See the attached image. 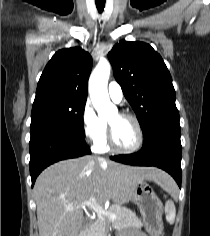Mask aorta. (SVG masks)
Returning a JSON list of instances; mask_svg holds the SVG:
<instances>
[{"label": "aorta", "instance_id": "obj_1", "mask_svg": "<svg viewBox=\"0 0 210 236\" xmlns=\"http://www.w3.org/2000/svg\"><path fill=\"white\" fill-rule=\"evenodd\" d=\"M110 71V63L102 59L98 62L89 79L90 98L99 117L102 119L117 112V108L110 102L107 90Z\"/></svg>", "mask_w": 210, "mask_h": 236}]
</instances>
